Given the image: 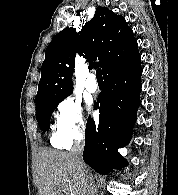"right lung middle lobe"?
Returning <instances> with one entry per match:
<instances>
[{"label":"right lung middle lobe","mask_w":178,"mask_h":195,"mask_svg":"<svg viewBox=\"0 0 178 195\" xmlns=\"http://www.w3.org/2000/svg\"><path fill=\"white\" fill-rule=\"evenodd\" d=\"M64 99L65 98L49 100L36 107V119L43 132H46L50 129L49 122L51 115L58 104Z\"/></svg>","instance_id":"right-lung-middle-lobe-1"}]
</instances>
